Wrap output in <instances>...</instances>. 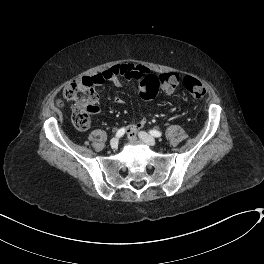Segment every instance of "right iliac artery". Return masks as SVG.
<instances>
[{"label":"right iliac artery","instance_id":"right-iliac-artery-1","mask_svg":"<svg viewBox=\"0 0 264 264\" xmlns=\"http://www.w3.org/2000/svg\"><path fill=\"white\" fill-rule=\"evenodd\" d=\"M125 131H126L125 128H120V129L117 131L116 136H117L118 138H120L121 136L124 135Z\"/></svg>","mask_w":264,"mask_h":264}]
</instances>
